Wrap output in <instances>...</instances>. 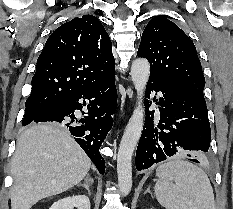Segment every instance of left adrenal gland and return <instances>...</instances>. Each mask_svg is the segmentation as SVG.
<instances>
[{
    "mask_svg": "<svg viewBox=\"0 0 233 209\" xmlns=\"http://www.w3.org/2000/svg\"><path fill=\"white\" fill-rule=\"evenodd\" d=\"M147 192L151 194L150 187H148L147 190H145L144 194H146Z\"/></svg>",
    "mask_w": 233,
    "mask_h": 209,
    "instance_id": "obj_1",
    "label": "left adrenal gland"
}]
</instances>
